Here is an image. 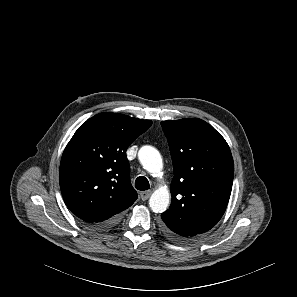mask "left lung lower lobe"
I'll list each match as a JSON object with an SVG mask.
<instances>
[{"label": "left lung lower lobe", "mask_w": 297, "mask_h": 297, "mask_svg": "<svg viewBox=\"0 0 297 297\" xmlns=\"http://www.w3.org/2000/svg\"><path fill=\"white\" fill-rule=\"evenodd\" d=\"M161 228L163 232L174 241H183L176 233L173 232L171 226L162 223Z\"/></svg>", "instance_id": "1"}]
</instances>
